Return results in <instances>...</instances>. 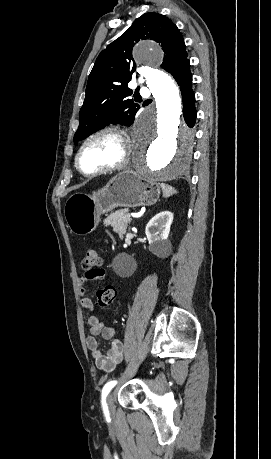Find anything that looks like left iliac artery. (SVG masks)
Wrapping results in <instances>:
<instances>
[{
  "instance_id": "1",
  "label": "left iliac artery",
  "mask_w": 271,
  "mask_h": 459,
  "mask_svg": "<svg viewBox=\"0 0 271 459\" xmlns=\"http://www.w3.org/2000/svg\"><path fill=\"white\" fill-rule=\"evenodd\" d=\"M116 383L117 381H109L108 383L105 384V386L102 389V407H103L106 417L109 416L107 404H106V397L111 391V389L116 385Z\"/></svg>"
}]
</instances>
